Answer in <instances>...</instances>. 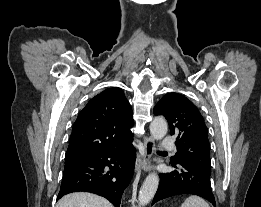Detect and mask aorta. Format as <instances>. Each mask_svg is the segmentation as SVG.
I'll return each instance as SVG.
<instances>
[{
	"label": "aorta",
	"mask_w": 261,
	"mask_h": 207,
	"mask_svg": "<svg viewBox=\"0 0 261 207\" xmlns=\"http://www.w3.org/2000/svg\"><path fill=\"white\" fill-rule=\"evenodd\" d=\"M168 125L165 119L155 118L150 124V133L155 140H161L167 133ZM159 185V177L156 173L149 174L143 182L139 192L138 202L147 205L154 197Z\"/></svg>",
	"instance_id": "762f6f07"
}]
</instances>
